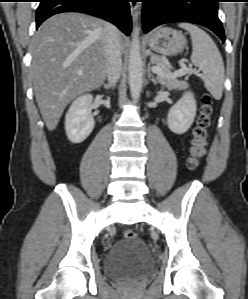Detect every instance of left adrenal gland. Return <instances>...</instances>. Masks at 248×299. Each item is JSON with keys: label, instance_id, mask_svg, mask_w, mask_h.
<instances>
[{"label": "left adrenal gland", "instance_id": "1", "mask_svg": "<svg viewBox=\"0 0 248 299\" xmlns=\"http://www.w3.org/2000/svg\"><path fill=\"white\" fill-rule=\"evenodd\" d=\"M150 63L148 64V78L154 83V84H157V80L154 78V76L151 74L150 72Z\"/></svg>", "mask_w": 248, "mask_h": 299}]
</instances>
